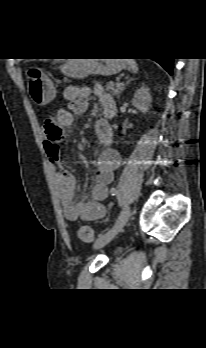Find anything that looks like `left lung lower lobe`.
<instances>
[{
	"instance_id": "left-lung-lower-lobe-1",
	"label": "left lung lower lobe",
	"mask_w": 206,
	"mask_h": 348,
	"mask_svg": "<svg viewBox=\"0 0 206 348\" xmlns=\"http://www.w3.org/2000/svg\"><path fill=\"white\" fill-rule=\"evenodd\" d=\"M173 60L174 58L155 59L170 75H173Z\"/></svg>"
}]
</instances>
